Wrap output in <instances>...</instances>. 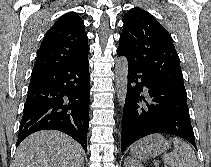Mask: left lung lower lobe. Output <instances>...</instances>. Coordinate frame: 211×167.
Instances as JSON below:
<instances>
[{
  "instance_id": "obj_1",
  "label": "left lung lower lobe",
  "mask_w": 211,
  "mask_h": 167,
  "mask_svg": "<svg viewBox=\"0 0 211 167\" xmlns=\"http://www.w3.org/2000/svg\"><path fill=\"white\" fill-rule=\"evenodd\" d=\"M117 54L123 53L118 47ZM127 93L122 117V147L153 133H168L190 142L195 137L187 107V95L157 82L128 61Z\"/></svg>"
}]
</instances>
